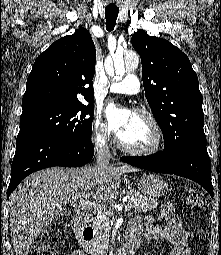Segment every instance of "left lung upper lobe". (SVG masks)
<instances>
[{"label":"left lung upper lobe","instance_id":"left-lung-upper-lobe-1","mask_svg":"<svg viewBox=\"0 0 221 255\" xmlns=\"http://www.w3.org/2000/svg\"><path fill=\"white\" fill-rule=\"evenodd\" d=\"M132 46L142 63L146 98L164 136V152L175 156L191 145H206L203 97L188 57L165 39L138 30Z\"/></svg>","mask_w":221,"mask_h":255}]
</instances>
